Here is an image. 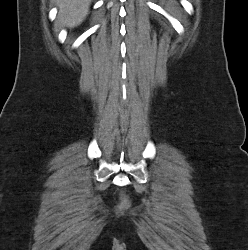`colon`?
<instances>
[{
  "label": "colon",
  "mask_w": 248,
  "mask_h": 250,
  "mask_svg": "<svg viewBox=\"0 0 248 250\" xmlns=\"http://www.w3.org/2000/svg\"><path fill=\"white\" fill-rule=\"evenodd\" d=\"M127 206V199L125 197H122L120 208L123 209Z\"/></svg>",
  "instance_id": "colon-1"
}]
</instances>
